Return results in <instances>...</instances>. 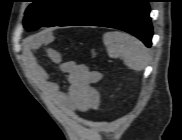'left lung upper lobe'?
I'll use <instances>...</instances> for the list:
<instances>
[{
  "label": "left lung upper lobe",
  "instance_id": "5c2ea615",
  "mask_svg": "<svg viewBox=\"0 0 182 140\" xmlns=\"http://www.w3.org/2000/svg\"><path fill=\"white\" fill-rule=\"evenodd\" d=\"M103 0H33L26 9L25 29L42 26H69L89 13Z\"/></svg>",
  "mask_w": 182,
  "mask_h": 140
}]
</instances>
